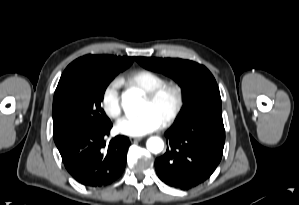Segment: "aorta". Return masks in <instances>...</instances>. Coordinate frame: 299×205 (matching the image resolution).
Instances as JSON below:
<instances>
[{"label": "aorta", "mask_w": 299, "mask_h": 205, "mask_svg": "<svg viewBox=\"0 0 299 205\" xmlns=\"http://www.w3.org/2000/svg\"><path fill=\"white\" fill-rule=\"evenodd\" d=\"M142 99L137 92L127 91L122 95V107L126 113L136 115L139 113ZM147 149L154 153H160L164 148V142L160 137H151L146 143Z\"/></svg>", "instance_id": "762f6f07"}]
</instances>
